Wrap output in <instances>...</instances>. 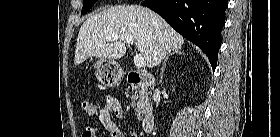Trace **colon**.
<instances>
[{"mask_svg": "<svg viewBox=\"0 0 280 137\" xmlns=\"http://www.w3.org/2000/svg\"><path fill=\"white\" fill-rule=\"evenodd\" d=\"M81 109L87 116L95 117L98 113L99 107H98V104L92 100H82ZM84 133H83V136H84ZM87 136L91 137L90 134H88Z\"/></svg>", "mask_w": 280, "mask_h": 137, "instance_id": "1", "label": "colon"}]
</instances>
